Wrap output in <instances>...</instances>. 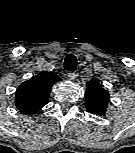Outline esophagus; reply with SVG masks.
<instances>
[{"instance_id": "obj_1", "label": "esophagus", "mask_w": 135, "mask_h": 153, "mask_svg": "<svg viewBox=\"0 0 135 153\" xmlns=\"http://www.w3.org/2000/svg\"><path fill=\"white\" fill-rule=\"evenodd\" d=\"M77 76H78V73L76 71H73V72H69L68 73V77L71 80H75Z\"/></svg>"}]
</instances>
